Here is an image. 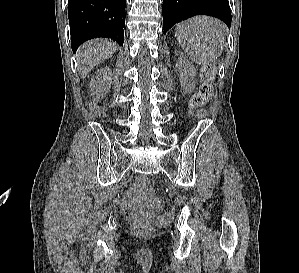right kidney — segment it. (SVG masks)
<instances>
[{"label": "right kidney", "mask_w": 299, "mask_h": 273, "mask_svg": "<svg viewBox=\"0 0 299 273\" xmlns=\"http://www.w3.org/2000/svg\"><path fill=\"white\" fill-rule=\"evenodd\" d=\"M109 68H103L98 70L95 75L91 78L90 89L93 94H98L99 92L107 93L110 85H104V80L110 75Z\"/></svg>", "instance_id": "1"}]
</instances>
